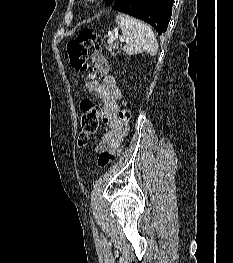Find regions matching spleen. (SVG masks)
Instances as JSON below:
<instances>
[{
	"instance_id": "obj_1",
	"label": "spleen",
	"mask_w": 233,
	"mask_h": 263,
	"mask_svg": "<svg viewBox=\"0 0 233 263\" xmlns=\"http://www.w3.org/2000/svg\"><path fill=\"white\" fill-rule=\"evenodd\" d=\"M116 23L121 28L126 44L124 51L127 55H135L146 52L155 56L158 51V43L150 27L144 22L129 15L118 13Z\"/></svg>"
}]
</instances>
